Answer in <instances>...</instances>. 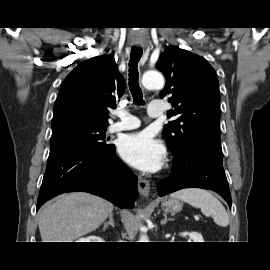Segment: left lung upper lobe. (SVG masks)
<instances>
[{
	"instance_id": "left-lung-upper-lobe-1",
	"label": "left lung upper lobe",
	"mask_w": 270,
	"mask_h": 270,
	"mask_svg": "<svg viewBox=\"0 0 270 270\" xmlns=\"http://www.w3.org/2000/svg\"><path fill=\"white\" fill-rule=\"evenodd\" d=\"M157 69L166 78L160 97L167 96L177 116L164 126L163 136L173 155L187 151L192 145L221 149L219 82L213 67L201 56L178 47H167Z\"/></svg>"
}]
</instances>
